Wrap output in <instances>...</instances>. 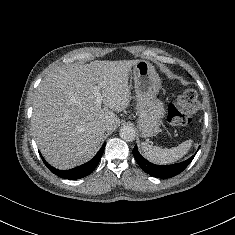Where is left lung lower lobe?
I'll return each mask as SVG.
<instances>
[{
    "instance_id": "0a47b994",
    "label": "left lung lower lobe",
    "mask_w": 235,
    "mask_h": 235,
    "mask_svg": "<svg viewBox=\"0 0 235 235\" xmlns=\"http://www.w3.org/2000/svg\"><path fill=\"white\" fill-rule=\"evenodd\" d=\"M133 155L139 166L146 173L157 178H171L173 176H176L177 174L181 173L191 163V161L195 156L194 154L188 160L181 163H176L167 166H160L152 164L149 161H147L145 158H143L138 152L137 146H135L133 149Z\"/></svg>"
}]
</instances>
